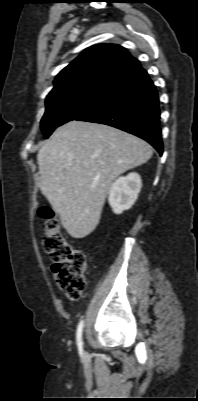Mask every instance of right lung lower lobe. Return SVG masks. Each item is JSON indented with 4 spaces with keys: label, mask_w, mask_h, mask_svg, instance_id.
Segmentation results:
<instances>
[{
    "label": "right lung lower lobe",
    "mask_w": 198,
    "mask_h": 401,
    "mask_svg": "<svg viewBox=\"0 0 198 401\" xmlns=\"http://www.w3.org/2000/svg\"><path fill=\"white\" fill-rule=\"evenodd\" d=\"M157 90L141 67L111 86L101 101L75 120L106 124L149 142L163 153Z\"/></svg>",
    "instance_id": "right-lung-lower-lobe-1"
}]
</instances>
